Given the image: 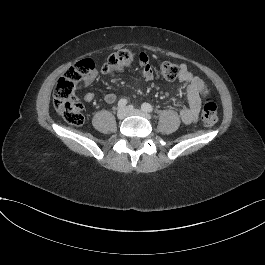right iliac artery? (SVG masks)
Instances as JSON below:
<instances>
[{"mask_svg":"<svg viewBox=\"0 0 265 265\" xmlns=\"http://www.w3.org/2000/svg\"><path fill=\"white\" fill-rule=\"evenodd\" d=\"M128 101L126 99H120L118 102V107L123 108L127 105Z\"/></svg>","mask_w":265,"mask_h":265,"instance_id":"1","label":"right iliac artery"}]
</instances>
